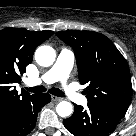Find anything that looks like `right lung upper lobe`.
I'll return each mask as SVG.
<instances>
[{"label": "right lung upper lobe", "instance_id": "right-lung-upper-lobe-1", "mask_svg": "<svg viewBox=\"0 0 136 136\" xmlns=\"http://www.w3.org/2000/svg\"><path fill=\"white\" fill-rule=\"evenodd\" d=\"M53 34L52 31H28L23 28L0 30V119L19 110L32 95L18 94L14 88L20 83L26 66L32 62L34 50Z\"/></svg>", "mask_w": 136, "mask_h": 136}]
</instances>
